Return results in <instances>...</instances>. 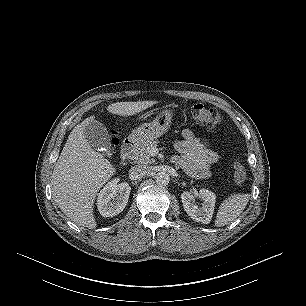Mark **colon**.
Segmentation results:
<instances>
[{
    "label": "colon",
    "instance_id": "obj_1",
    "mask_svg": "<svg viewBox=\"0 0 306 306\" xmlns=\"http://www.w3.org/2000/svg\"><path fill=\"white\" fill-rule=\"evenodd\" d=\"M191 114L196 122L208 128L216 127L221 121L220 112L204 104H194L191 107ZM117 140L114 138L112 144H116ZM234 181L236 184H242L246 180V168L241 158L234 161Z\"/></svg>",
    "mask_w": 306,
    "mask_h": 306
}]
</instances>
